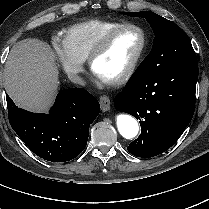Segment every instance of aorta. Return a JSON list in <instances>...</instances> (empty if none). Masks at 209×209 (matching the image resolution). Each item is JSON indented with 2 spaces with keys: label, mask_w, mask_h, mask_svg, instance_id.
Returning <instances> with one entry per match:
<instances>
[{
  "label": "aorta",
  "mask_w": 209,
  "mask_h": 209,
  "mask_svg": "<svg viewBox=\"0 0 209 209\" xmlns=\"http://www.w3.org/2000/svg\"><path fill=\"white\" fill-rule=\"evenodd\" d=\"M116 123L119 133L126 139L134 138L139 131L137 120L127 114H118Z\"/></svg>",
  "instance_id": "1"
}]
</instances>
